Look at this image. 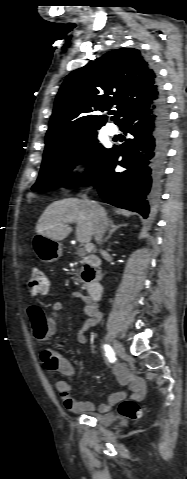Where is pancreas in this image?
I'll list each match as a JSON object with an SVG mask.
<instances>
[{
    "instance_id": "pancreas-1",
    "label": "pancreas",
    "mask_w": 187,
    "mask_h": 479,
    "mask_svg": "<svg viewBox=\"0 0 187 479\" xmlns=\"http://www.w3.org/2000/svg\"><path fill=\"white\" fill-rule=\"evenodd\" d=\"M76 281L82 282L83 286H87V283L81 278V270L76 272Z\"/></svg>"
}]
</instances>
